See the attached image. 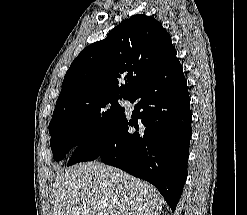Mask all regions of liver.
Returning a JSON list of instances; mask_svg holds the SVG:
<instances>
[{
	"instance_id": "obj_1",
	"label": "liver",
	"mask_w": 247,
	"mask_h": 215,
	"mask_svg": "<svg viewBox=\"0 0 247 215\" xmlns=\"http://www.w3.org/2000/svg\"><path fill=\"white\" fill-rule=\"evenodd\" d=\"M52 215H160L162 199L150 184L94 161L60 173Z\"/></svg>"
}]
</instances>
